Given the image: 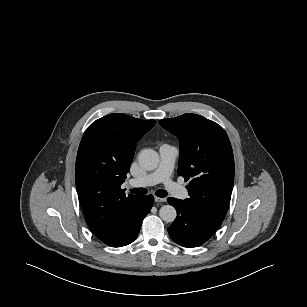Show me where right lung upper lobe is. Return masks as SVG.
<instances>
[{
	"label": "right lung upper lobe",
	"mask_w": 307,
	"mask_h": 307,
	"mask_svg": "<svg viewBox=\"0 0 307 307\" xmlns=\"http://www.w3.org/2000/svg\"><path fill=\"white\" fill-rule=\"evenodd\" d=\"M155 123L109 114L92 123L80 142L75 166L78 198L88 226L107 245L127 236L143 206L142 196L126 195L121 184L136 143Z\"/></svg>",
	"instance_id": "obj_1"
}]
</instances>
